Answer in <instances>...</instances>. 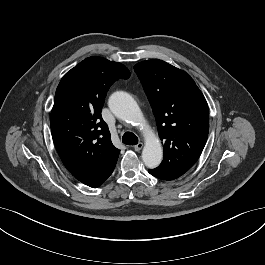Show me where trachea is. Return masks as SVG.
<instances>
[{"instance_id":"3493384b","label":"trachea","mask_w":265,"mask_h":265,"mask_svg":"<svg viewBox=\"0 0 265 265\" xmlns=\"http://www.w3.org/2000/svg\"><path fill=\"white\" fill-rule=\"evenodd\" d=\"M122 142L126 145H136L138 143V138L134 133L126 132L122 137Z\"/></svg>"}]
</instances>
